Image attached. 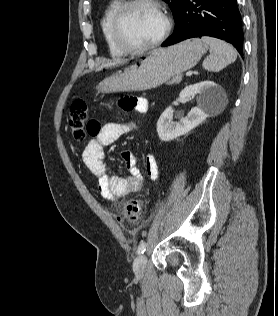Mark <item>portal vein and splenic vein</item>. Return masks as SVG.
I'll return each mask as SVG.
<instances>
[{"instance_id": "1", "label": "portal vein and splenic vein", "mask_w": 278, "mask_h": 316, "mask_svg": "<svg viewBox=\"0 0 278 316\" xmlns=\"http://www.w3.org/2000/svg\"><path fill=\"white\" fill-rule=\"evenodd\" d=\"M192 74H193V72H192V71H187V72H186V76H187V77L192 76Z\"/></svg>"}]
</instances>
